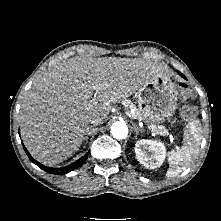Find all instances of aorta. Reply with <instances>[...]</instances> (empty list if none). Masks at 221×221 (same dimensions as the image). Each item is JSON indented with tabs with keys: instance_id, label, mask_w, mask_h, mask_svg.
Here are the masks:
<instances>
[{
	"instance_id": "aorta-1",
	"label": "aorta",
	"mask_w": 221,
	"mask_h": 221,
	"mask_svg": "<svg viewBox=\"0 0 221 221\" xmlns=\"http://www.w3.org/2000/svg\"><path fill=\"white\" fill-rule=\"evenodd\" d=\"M111 134L116 139H124L128 135V127L124 122H115L111 126Z\"/></svg>"
}]
</instances>
